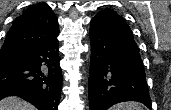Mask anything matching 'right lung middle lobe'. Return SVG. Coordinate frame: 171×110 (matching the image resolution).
Instances as JSON below:
<instances>
[{
  "mask_svg": "<svg viewBox=\"0 0 171 110\" xmlns=\"http://www.w3.org/2000/svg\"><path fill=\"white\" fill-rule=\"evenodd\" d=\"M24 60L25 54L0 55V71L16 66Z\"/></svg>",
  "mask_w": 171,
  "mask_h": 110,
  "instance_id": "obj_1",
  "label": "right lung middle lobe"
}]
</instances>
